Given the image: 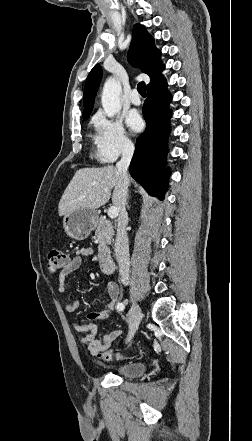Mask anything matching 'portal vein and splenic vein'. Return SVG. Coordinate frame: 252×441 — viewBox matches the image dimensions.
<instances>
[{"instance_id": "portal-vein-and-splenic-vein-1", "label": "portal vein and splenic vein", "mask_w": 252, "mask_h": 441, "mask_svg": "<svg viewBox=\"0 0 252 441\" xmlns=\"http://www.w3.org/2000/svg\"><path fill=\"white\" fill-rule=\"evenodd\" d=\"M118 213H119V209L115 206L109 208V210H108V216L111 219L116 218L118 216Z\"/></svg>"}]
</instances>
